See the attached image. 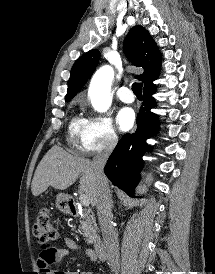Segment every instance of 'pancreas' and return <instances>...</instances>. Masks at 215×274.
<instances>
[{"label": "pancreas", "mask_w": 215, "mask_h": 274, "mask_svg": "<svg viewBox=\"0 0 215 274\" xmlns=\"http://www.w3.org/2000/svg\"><path fill=\"white\" fill-rule=\"evenodd\" d=\"M80 220L81 230L88 244L98 240L97 224L95 219L88 211H84Z\"/></svg>", "instance_id": "obj_1"}]
</instances>
